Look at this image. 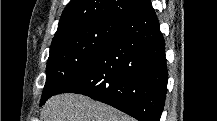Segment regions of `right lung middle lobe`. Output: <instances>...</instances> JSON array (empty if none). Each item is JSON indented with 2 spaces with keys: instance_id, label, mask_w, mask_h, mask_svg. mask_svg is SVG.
<instances>
[{
  "instance_id": "right-lung-middle-lobe-1",
  "label": "right lung middle lobe",
  "mask_w": 217,
  "mask_h": 121,
  "mask_svg": "<svg viewBox=\"0 0 217 121\" xmlns=\"http://www.w3.org/2000/svg\"><path fill=\"white\" fill-rule=\"evenodd\" d=\"M126 22L98 19L78 24L53 39L41 102L90 65Z\"/></svg>"
}]
</instances>
